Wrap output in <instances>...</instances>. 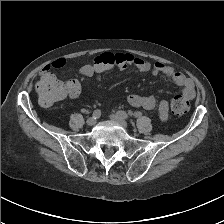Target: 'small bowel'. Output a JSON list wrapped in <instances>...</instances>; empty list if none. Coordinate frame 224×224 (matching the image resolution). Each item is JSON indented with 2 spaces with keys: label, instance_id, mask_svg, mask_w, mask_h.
Returning <instances> with one entry per match:
<instances>
[{
  "label": "small bowel",
  "instance_id": "1",
  "mask_svg": "<svg viewBox=\"0 0 224 224\" xmlns=\"http://www.w3.org/2000/svg\"><path fill=\"white\" fill-rule=\"evenodd\" d=\"M95 60L112 61L114 66L120 70H124L128 66H133L141 72L151 71L154 75L164 74L169 77L176 86L181 88L182 93L186 98L193 99L195 96V88L192 80L187 78L181 72L176 71L173 67L162 62L151 63L150 61L131 53H104L98 56ZM65 64V59L58 58L44 66L40 72V81L48 77H54L51 70L62 68L65 66ZM103 72L104 71L98 65H96L95 62H88L81 68V73L86 76H95L97 78H101ZM75 84L78 85L76 82ZM80 93L81 92L79 90L74 97L79 96ZM127 100L130 105L134 107H141L146 110L153 109L157 104L156 98L153 95L130 94ZM158 109L160 118L162 120H166L169 110L168 102L162 100L159 103Z\"/></svg>",
  "mask_w": 224,
  "mask_h": 224
}]
</instances>
